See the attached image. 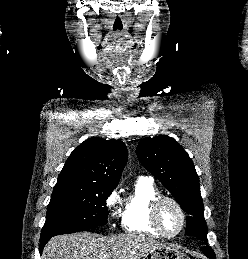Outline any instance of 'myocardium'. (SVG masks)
Returning <instances> with one entry per match:
<instances>
[{"instance_id": "f54148a6", "label": "myocardium", "mask_w": 248, "mask_h": 259, "mask_svg": "<svg viewBox=\"0 0 248 259\" xmlns=\"http://www.w3.org/2000/svg\"><path fill=\"white\" fill-rule=\"evenodd\" d=\"M166 202L172 203L178 209V211L181 215V226L175 234H168L167 232H165V230L163 229L161 222H160V209H161L162 205ZM150 219H151V223H152L153 227L155 228V230L162 237H165V238L177 237L178 235H180L182 233V231L184 230V228L186 226V213H185L184 208L175 198L166 196V195H160L152 202L151 210H150Z\"/></svg>"}]
</instances>
